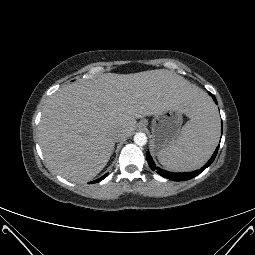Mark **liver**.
Masks as SVG:
<instances>
[{
    "mask_svg": "<svg viewBox=\"0 0 255 255\" xmlns=\"http://www.w3.org/2000/svg\"><path fill=\"white\" fill-rule=\"evenodd\" d=\"M207 97L198 87L165 69L106 73L57 90L45 104L39 142L48 165L73 182L93 179L114 150L112 134L126 139L136 119L168 107L191 117Z\"/></svg>",
    "mask_w": 255,
    "mask_h": 255,
    "instance_id": "liver-1",
    "label": "liver"
}]
</instances>
